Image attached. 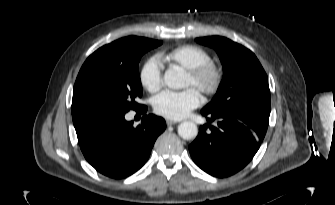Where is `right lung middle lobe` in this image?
Here are the masks:
<instances>
[{"label":"right lung middle lobe","instance_id":"dd1d6c3e","mask_svg":"<svg viewBox=\"0 0 335 205\" xmlns=\"http://www.w3.org/2000/svg\"><path fill=\"white\" fill-rule=\"evenodd\" d=\"M161 41L129 36L95 51L77 76L72 98L73 122L100 116H118L142 105L138 72L141 56Z\"/></svg>","mask_w":335,"mask_h":205}]
</instances>
